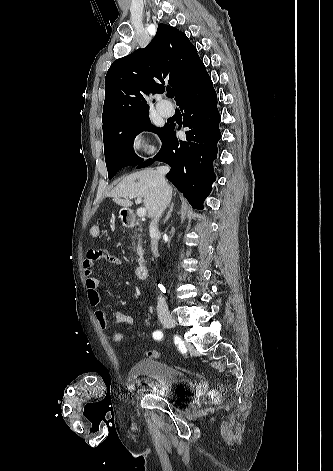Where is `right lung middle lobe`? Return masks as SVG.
Returning a JSON list of instances; mask_svg holds the SVG:
<instances>
[{
  "label": "right lung middle lobe",
  "instance_id": "obj_1",
  "mask_svg": "<svg viewBox=\"0 0 333 471\" xmlns=\"http://www.w3.org/2000/svg\"><path fill=\"white\" fill-rule=\"evenodd\" d=\"M167 125L162 128L151 124L148 111L129 120L118 122L103 131L105 161L111 179L121 168L143 161L133 149L135 137L143 131H151L162 138Z\"/></svg>",
  "mask_w": 333,
  "mask_h": 471
}]
</instances>
